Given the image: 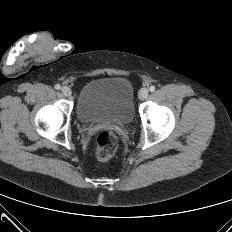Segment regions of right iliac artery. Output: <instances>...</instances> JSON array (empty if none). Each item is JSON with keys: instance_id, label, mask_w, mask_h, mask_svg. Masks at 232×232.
Segmentation results:
<instances>
[{"instance_id": "right-iliac-artery-1", "label": "right iliac artery", "mask_w": 232, "mask_h": 232, "mask_svg": "<svg viewBox=\"0 0 232 232\" xmlns=\"http://www.w3.org/2000/svg\"><path fill=\"white\" fill-rule=\"evenodd\" d=\"M54 87L56 90H59L61 88V86L59 84H56Z\"/></svg>"}]
</instances>
